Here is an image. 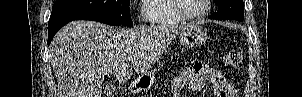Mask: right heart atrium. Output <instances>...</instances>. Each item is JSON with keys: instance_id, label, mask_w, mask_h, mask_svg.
Masks as SVG:
<instances>
[{"instance_id": "1", "label": "right heart atrium", "mask_w": 302, "mask_h": 97, "mask_svg": "<svg viewBox=\"0 0 302 97\" xmlns=\"http://www.w3.org/2000/svg\"><path fill=\"white\" fill-rule=\"evenodd\" d=\"M138 17L142 20V21H146L148 20V17L145 13L144 10H140L139 13H138Z\"/></svg>"}]
</instances>
